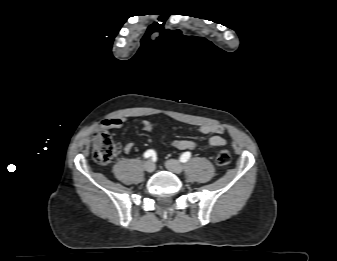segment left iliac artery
I'll use <instances>...</instances> for the list:
<instances>
[{"instance_id": "1", "label": "left iliac artery", "mask_w": 337, "mask_h": 261, "mask_svg": "<svg viewBox=\"0 0 337 261\" xmlns=\"http://www.w3.org/2000/svg\"><path fill=\"white\" fill-rule=\"evenodd\" d=\"M190 157H191V153L190 152H185V153H183L181 155L180 161L181 162H186Z\"/></svg>"}]
</instances>
